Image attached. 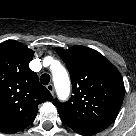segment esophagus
Here are the masks:
<instances>
[{
	"label": "esophagus",
	"mask_w": 136,
	"mask_h": 136,
	"mask_svg": "<svg viewBox=\"0 0 136 136\" xmlns=\"http://www.w3.org/2000/svg\"><path fill=\"white\" fill-rule=\"evenodd\" d=\"M46 88L52 95H54L55 92H54V85L53 84H51V83L48 84Z\"/></svg>",
	"instance_id": "esophagus-1"
}]
</instances>
